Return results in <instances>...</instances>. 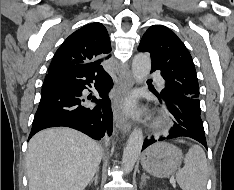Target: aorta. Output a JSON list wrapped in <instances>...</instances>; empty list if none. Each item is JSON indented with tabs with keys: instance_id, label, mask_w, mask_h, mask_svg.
Returning <instances> with one entry per match:
<instances>
[{
	"instance_id": "1",
	"label": "aorta",
	"mask_w": 234,
	"mask_h": 190,
	"mask_svg": "<svg viewBox=\"0 0 234 190\" xmlns=\"http://www.w3.org/2000/svg\"><path fill=\"white\" fill-rule=\"evenodd\" d=\"M151 69V59L146 53H138L132 62L133 77L138 83H143ZM143 145V133L135 128L126 143L122 157V167L126 173L132 171Z\"/></svg>"
}]
</instances>
